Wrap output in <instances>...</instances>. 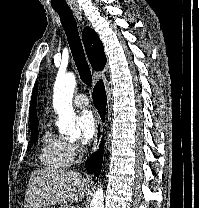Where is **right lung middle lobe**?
Returning <instances> with one entry per match:
<instances>
[{
  "instance_id": "1",
  "label": "right lung middle lobe",
  "mask_w": 199,
  "mask_h": 208,
  "mask_svg": "<svg viewBox=\"0 0 199 208\" xmlns=\"http://www.w3.org/2000/svg\"><path fill=\"white\" fill-rule=\"evenodd\" d=\"M32 141L35 143L38 138V129L31 130Z\"/></svg>"
}]
</instances>
